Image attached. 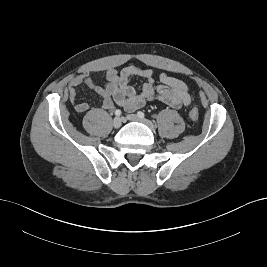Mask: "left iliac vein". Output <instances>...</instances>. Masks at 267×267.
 Returning a JSON list of instances; mask_svg holds the SVG:
<instances>
[{
    "label": "left iliac vein",
    "mask_w": 267,
    "mask_h": 267,
    "mask_svg": "<svg viewBox=\"0 0 267 267\" xmlns=\"http://www.w3.org/2000/svg\"><path fill=\"white\" fill-rule=\"evenodd\" d=\"M127 119L130 121L141 122V123L145 124L147 127H149L151 130H154V125L151 121L144 119V118H140L135 114L128 115Z\"/></svg>",
    "instance_id": "left-iliac-vein-1"
}]
</instances>
